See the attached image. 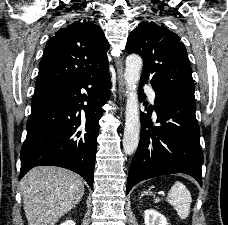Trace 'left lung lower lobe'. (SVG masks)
Instances as JSON below:
<instances>
[{
    "instance_id": "obj_1",
    "label": "left lung lower lobe",
    "mask_w": 228,
    "mask_h": 225,
    "mask_svg": "<svg viewBox=\"0 0 228 225\" xmlns=\"http://www.w3.org/2000/svg\"><path fill=\"white\" fill-rule=\"evenodd\" d=\"M142 85L140 102L146 98ZM152 109L160 126L153 127L151 118L141 113L140 142L130 165L126 194L142 180L171 173L188 174L202 185L203 153L196 103L156 93L155 105L145 110L151 114Z\"/></svg>"
}]
</instances>
